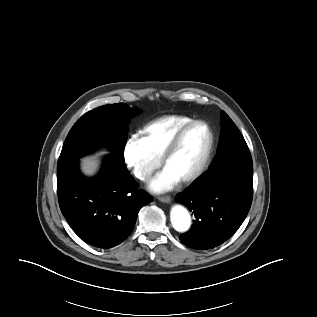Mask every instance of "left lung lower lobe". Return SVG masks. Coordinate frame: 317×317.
Instances as JSON below:
<instances>
[{
	"label": "left lung lower lobe",
	"mask_w": 317,
	"mask_h": 317,
	"mask_svg": "<svg viewBox=\"0 0 317 317\" xmlns=\"http://www.w3.org/2000/svg\"><path fill=\"white\" fill-rule=\"evenodd\" d=\"M252 197L253 166L231 164L215 175L207 171L176 196L195 216L181 242L199 250L223 243L245 220Z\"/></svg>",
	"instance_id": "obj_1"
}]
</instances>
